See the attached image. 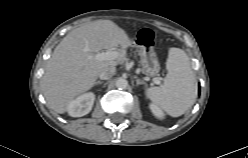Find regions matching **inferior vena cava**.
I'll return each instance as SVG.
<instances>
[{
    "mask_svg": "<svg viewBox=\"0 0 248 158\" xmlns=\"http://www.w3.org/2000/svg\"><path fill=\"white\" fill-rule=\"evenodd\" d=\"M115 72L116 68L114 66L106 67L100 72L99 78L102 80H108L115 74Z\"/></svg>",
    "mask_w": 248,
    "mask_h": 158,
    "instance_id": "602c4592",
    "label": "inferior vena cava"
}]
</instances>
